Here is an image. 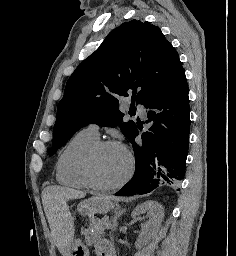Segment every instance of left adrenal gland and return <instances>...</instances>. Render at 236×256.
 <instances>
[{
    "label": "left adrenal gland",
    "mask_w": 236,
    "mask_h": 256,
    "mask_svg": "<svg viewBox=\"0 0 236 256\" xmlns=\"http://www.w3.org/2000/svg\"><path fill=\"white\" fill-rule=\"evenodd\" d=\"M124 212H125V210H121L120 206H117V208H115L114 216H112V218H111L114 230H116V228L118 226V222H117L118 218H120V216H122V214H124Z\"/></svg>",
    "instance_id": "obj_1"
}]
</instances>
